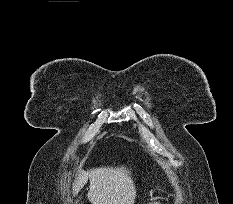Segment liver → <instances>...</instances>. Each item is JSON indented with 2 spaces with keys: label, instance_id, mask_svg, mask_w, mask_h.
<instances>
[{
  "label": "liver",
  "instance_id": "1",
  "mask_svg": "<svg viewBox=\"0 0 233 204\" xmlns=\"http://www.w3.org/2000/svg\"><path fill=\"white\" fill-rule=\"evenodd\" d=\"M90 181L88 199L91 204H134L136 189L131 172L124 166L100 167L79 171L73 184L77 195Z\"/></svg>",
  "mask_w": 233,
  "mask_h": 204
}]
</instances>
